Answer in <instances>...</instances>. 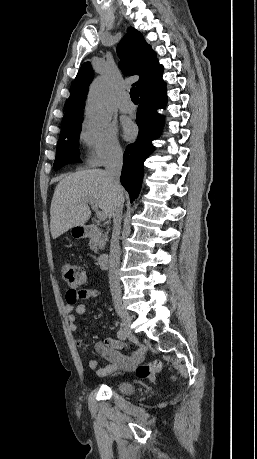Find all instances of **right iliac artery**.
<instances>
[{"label":"right iliac artery","mask_w":257,"mask_h":459,"mask_svg":"<svg viewBox=\"0 0 257 459\" xmlns=\"http://www.w3.org/2000/svg\"><path fill=\"white\" fill-rule=\"evenodd\" d=\"M117 337L121 340H126L127 339V333L125 330L123 329H120L118 332H117Z\"/></svg>","instance_id":"82829eb1"}]
</instances>
